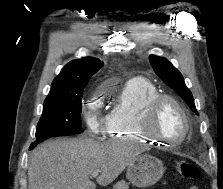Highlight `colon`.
<instances>
[{"label":"colon","mask_w":223,"mask_h":189,"mask_svg":"<svg viewBox=\"0 0 223 189\" xmlns=\"http://www.w3.org/2000/svg\"><path fill=\"white\" fill-rule=\"evenodd\" d=\"M177 170L181 176L189 180H196L199 177V169L192 162L180 161L177 164ZM189 189H198V187L192 185Z\"/></svg>","instance_id":"5ec220e1"}]
</instances>
